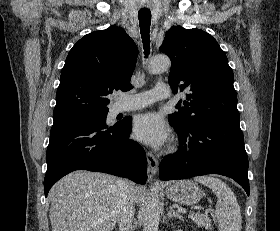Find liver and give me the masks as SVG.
<instances>
[{"label": "liver", "instance_id": "obj_1", "mask_svg": "<svg viewBox=\"0 0 280 231\" xmlns=\"http://www.w3.org/2000/svg\"><path fill=\"white\" fill-rule=\"evenodd\" d=\"M119 177L78 169L59 179L50 189L52 231H112L117 221ZM143 187L135 185V201Z\"/></svg>", "mask_w": 280, "mask_h": 231}]
</instances>
